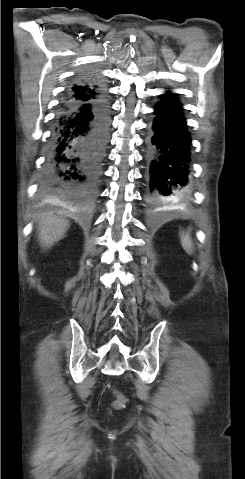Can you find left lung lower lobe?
Here are the masks:
<instances>
[{
    "label": "left lung lower lobe",
    "mask_w": 245,
    "mask_h": 479,
    "mask_svg": "<svg viewBox=\"0 0 245 479\" xmlns=\"http://www.w3.org/2000/svg\"><path fill=\"white\" fill-rule=\"evenodd\" d=\"M154 113L148 199L156 204L177 202L189 193L190 134L175 94H164Z\"/></svg>",
    "instance_id": "left-lung-lower-lobe-1"
}]
</instances>
